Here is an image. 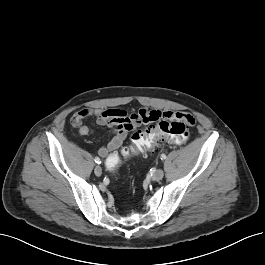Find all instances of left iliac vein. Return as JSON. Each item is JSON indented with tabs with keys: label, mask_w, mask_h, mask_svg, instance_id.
Returning a JSON list of instances; mask_svg holds the SVG:
<instances>
[{
	"label": "left iliac vein",
	"mask_w": 265,
	"mask_h": 265,
	"mask_svg": "<svg viewBox=\"0 0 265 265\" xmlns=\"http://www.w3.org/2000/svg\"><path fill=\"white\" fill-rule=\"evenodd\" d=\"M163 176H164V172H163V170L158 169V170L155 171V173H154V175H153V178H154L155 180H161V179L163 178Z\"/></svg>",
	"instance_id": "obj_1"
}]
</instances>
